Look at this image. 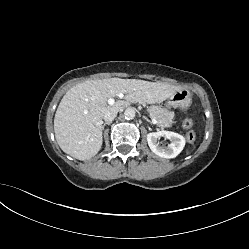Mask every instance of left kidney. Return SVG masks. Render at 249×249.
<instances>
[{
  "instance_id": "1",
  "label": "left kidney",
  "mask_w": 249,
  "mask_h": 249,
  "mask_svg": "<svg viewBox=\"0 0 249 249\" xmlns=\"http://www.w3.org/2000/svg\"><path fill=\"white\" fill-rule=\"evenodd\" d=\"M162 136L171 141L167 147L158 145L157 141ZM147 142L152 152H154L159 157L167 159L176 157L181 153L185 146V138L182 135L164 130L147 134Z\"/></svg>"
}]
</instances>
